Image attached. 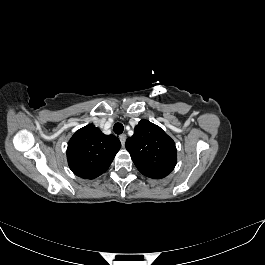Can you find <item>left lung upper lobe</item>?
Returning <instances> with one entry per match:
<instances>
[{
  "mask_svg": "<svg viewBox=\"0 0 265 265\" xmlns=\"http://www.w3.org/2000/svg\"><path fill=\"white\" fill-rule=\"evenodd\" d=\"M126 149L143 175L161 179L174 169L177 150L174 141L157 125L142 119L134 135L126 140Z\"/></svg>",
  "mask_w": 265,
  "mask_h": 265,
  "instance_id": "5c2ea615",
  "label": "left lung upper lobe"
}]
</instances>
